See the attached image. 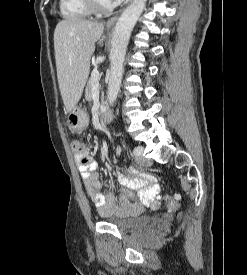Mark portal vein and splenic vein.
Listing matches in <instances>:
<instances>
[{"instance_id": "obj_1", "label": "portal vein and splenic vein", "mask_w": 247, "mask_h": 275, "mask_svg": "<svg viewBox=\"0 0 247 275\" xmlns=\"http://www.w3.org/2000/svg\"><path fill=\"white\" fill-rule=\"evenodd\" d=\"M91 76L94 78L96 87H98V85H99V83H98L99 71H98V70H94V71L91 73Z\"/></svg>"}]
</instances>
